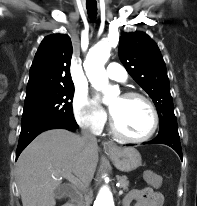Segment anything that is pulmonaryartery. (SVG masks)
<instances>
[{
	"label": "pulmonary artery",
	"mask_w": 197,
	"mask_h": 206,
	"mask_svg": "<svg viewBox=\"0 0 197 206\" xmlns=\"http://www.w3.org/2000/svg\"><path fill=\"white\" fill-rule=\"evenodd\" d=\"M106 73H107L108 78L115 80V81L123 82L127 78V74H126L124 67L118 63H110L107 66Z\"/></svg>",
	"instance_id": "1"
}]
</instances>
